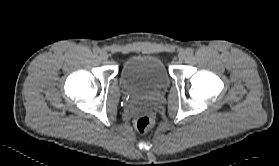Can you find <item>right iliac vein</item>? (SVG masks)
Returning <instances> with one entry per match:
<instances>
[{
    "instance_id": "63e3f726",
    "label": "right iliac vein",
    "mask_w": 279,
    "mask_h": 166,
    "mask_svg": "<svg viewBox=\"0 0 279 166\" xmlns=\"http://www.w3.org/2000/svg\"><path fill=\"white\" fill-rule=\"evenodd\" d=\"M99 55H100V58L103 59V60H106V59L108 58V54H107V52L104 51V50H101V51L99 52Z\"/></svg>"
}]
</instances>
